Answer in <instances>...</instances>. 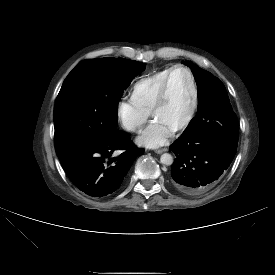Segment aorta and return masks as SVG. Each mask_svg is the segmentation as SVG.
Segmentation results:
<instances>
[{"label": "aorta", "mask_w": 275, "mask_h": 275, "mask_svg": "<svg viewBox=\"0 0 275 275\" xmlns=\"http://www.w3.org/2000/svg\"><path fill=\"white\" fill-rule=\"evenodd\" d=\"M160 162H161V164H163V165L169 166V165H171V164L173 163V157H172V155L169 154V153H164V154H162L161 157H160Z\"/></svg>", "instance_id": "obj_1"}]
</instances>
